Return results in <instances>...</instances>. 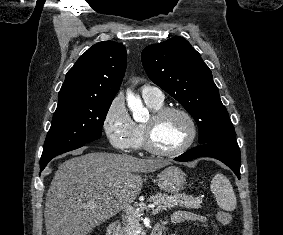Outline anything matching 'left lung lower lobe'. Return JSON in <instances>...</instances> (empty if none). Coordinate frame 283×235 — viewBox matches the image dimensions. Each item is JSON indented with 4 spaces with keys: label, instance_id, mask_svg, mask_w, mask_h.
<instances>
[{
    "label": "left lung lower lobe",
    "instance_id": "left-lung-lower-lobe-1",
    "mask_svg": "<svg viewBox=\"0 0 283 235\" xmlns=\"http://www.w3.org/2000/svg\"><path fill=\"white\" fill-rule=\"evenodd\" d=\"M212 157L220 160L237 175L240 179L241 157L240 149L236 140H226L202 144L194 147L179 157L176 161L187 162L199 157Z\"/></svg>",
    "mask_w": 283,
    "mask_h": 235
}]
</instances>
